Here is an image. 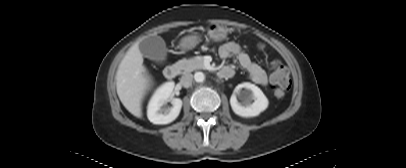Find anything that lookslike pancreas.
I'll list each match as a JSON object with an SVG mask.
<instances>
[{"mask_svg": "<svg viewBox=\"0 0 406 168\" xmlns=\"http://www.w3.org/2000/svg\"><path fill=\"white\" fill-rule=\"evenodd\" d=\"M177 65L184 72H191L196 69H202L204 67V62L202 58L182 59L177 62Z\"/></svg>", "mask_w": 406, "mask_h": 168, "instance_id": "cf45deb5", "label": "pancreas"}]
</instances>
